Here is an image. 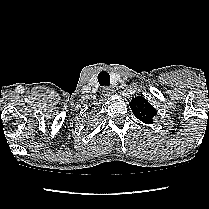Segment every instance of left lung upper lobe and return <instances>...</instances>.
Segmentation results:
<instances>
[{
	"instance_id": "5c2ea615",
	"label": "left lung upper lobe",
	"mask_w": 209,
	"mask_h": 209,
	"mask_svg": "<svg viewBox=\"0 0 209 209\" xmlns=\"http://www.w3.org/2000/svg\"><path fill=\"white\" fill-rule=\"evenodd\" d=\"M129 106L133 114L145 124H152L153 118L157 114L156 109L142 96H137L131 100Z\"/></svg>"
}]
</instances>
